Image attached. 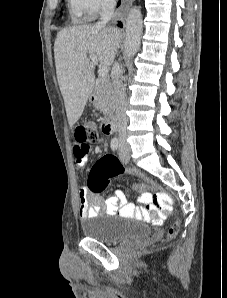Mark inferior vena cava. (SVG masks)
<instances>
[{
    "label": "inferior vena cava",
    "mask_w": 227,
    "mask_h": 298,
    "mask_svg": "<svg viewBox=\"0 0 227 298\" xmlns=\"http://www.w3.org/2000/svg\"><path fill=\"white\" fill-rule=\"evenodd\" d=\"M116 6L115 0H103L100 13V21L96 23L97 26L105 27L111 20ZM123 69L119 63L115 62L112 67V82L114 94L116 98V117L118 121V136L120 141L126 140V131L128 118L126 115L127 110V94L126 88L123 85L121 75Z\"/></svg>",
    "instance_id": "obj_1"
}]
</instances>
